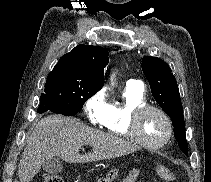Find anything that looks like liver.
I'll list each match as a JSON object with an SVG mask.
<instances>
[{
	"label": "liver",
	"mask_w": 211,
	"mask_h": 182,
	"mask_svg": "<svg viewBox=\"0 0 211 182\" xmlns=\"http://www.w3.org/2000/svg\"><path fill=\"white\" fill-rule=\"evenodd\" d=\"M83 145L93 148L85 155L79 154ZM139 147L119 137L91 128L79 119L50 115L41 119L28 137L22 153L18 177L20 182H30L51 157L58 156L68 163H88L111 159L137 151Z\"/></svg>",
	"instance_id": "1"
}]
</instances>
